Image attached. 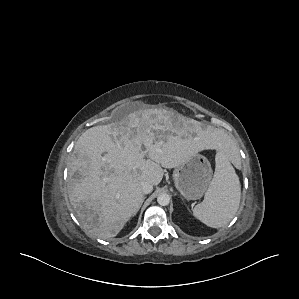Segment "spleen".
I'll list each match as a JSON object with an SVG mask.
<instances>
[{"label": "spleen", "mask_w": 299, "mask_h": 299, "mask_svg": "<svg viewBox=\"0 0 299 299\" xmlns=\"http://www.w3.org/2000/svg\"><path fill=\"white\" fill-rule=\"evenodd\" d=\"M215 161L213 179L193 215L209 227L220 228L232 220L239 208L241 185L225 148L218 149Z\"/></svg>", "instance_id": "spleen-1"}]
</instances>
